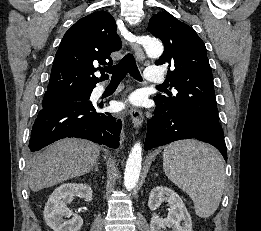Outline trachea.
Here are the masks:
<instances>
[{"label": "trachea", "mask_w": 261, "mask_h": 231, "mask_svg": "<svg viewBox=\"0 0 261 231\" xmlns=\"http://www.w3.org/2000/svg\"><path fill=\"white\" fill-rule=\"evenodd\" d=\"M104 70L112 74L111 81H122L127 73H129L134 79L142 81V77L132 53L126 54L125 57L117 65L105 68ZM158 87L164 86L159 85Z\"/></svg>", "instance_id": "3493384b"}]
</instances>
